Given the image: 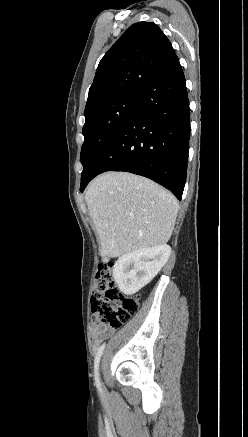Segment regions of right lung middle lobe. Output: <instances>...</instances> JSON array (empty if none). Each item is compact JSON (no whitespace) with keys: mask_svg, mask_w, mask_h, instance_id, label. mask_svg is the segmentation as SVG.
<instances>
[{"mask_svg":"<svg viewBox=\"0 0 248 437\" xmlns=\"http://www.w3.org/2000/svg\"><path fill=\"white\" fill-rule=\"evenodd\" d=\"M137 96V93L121 95L85 116L80 157L84 168L81 179L88 174L96 156L126 120Z\"/></svg>","mask_w":248,"mask_h":437,"instance_id":"obj_1","label":"right lung middle lobe"}]
</instances>
